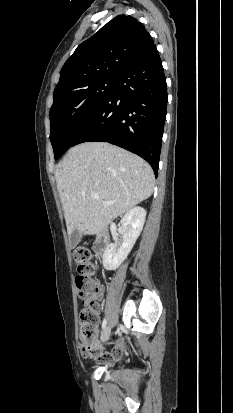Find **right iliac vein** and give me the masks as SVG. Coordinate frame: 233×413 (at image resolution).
Segmentation results:
<instances>
[{"mask_svg": "<svg viewBox=\"0 0 233 413\" xmlns=\"http://www.w3.org/2000/svg\"><path fill=\"white\" fill-rule=\"evenodd\" d=\"M110 335H111V328L107 326L102 332L101 341L106 342L110 338Z\"/></svg>", "mask_w": 233, "mask_h": 413, "instance_id": "63e3f726", "label": "right iliac vein"}]
</instances>
